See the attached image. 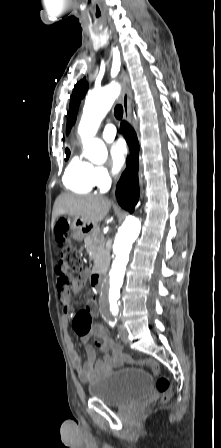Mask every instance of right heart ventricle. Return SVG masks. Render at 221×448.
<instances>
[{"mask_svg": "<svg viewBox=\"0 0 221 448\" xmlns=\"http://www.w3.org/2000/svg\"><path fill=\"white\" fill-rule=\"evenodd\" d=\"M93 167L90 163L75 156L65 171L64 185L76 193L94 192L97 186L93 178Z\"/></svg>", "mask_w": 221, "mask_h": 448, "instance_id": "right-heart-ventricle-1", "label": "right heart ventricle"}]
</instances>
